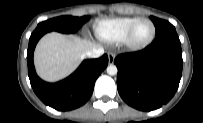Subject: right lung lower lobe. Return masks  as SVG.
I'll list each match as a JSON object with an SVG mask.
<instances>
[{"label":"right lung lower lobe","instance_id":"1","mask_svg":"<svg viewBox=\"0 0 203 123\" xmlns=\"http://www.w3.org/2000/svg\"><path fill=\"white\" fill-rule=\"evenodd\" d=\"M45 33L35 30L29 39L27 63L31 86L42 102L56 110L67 111L78 108L91 97L96 79L108 65V56L105 54L98 59L83 61L72 75L62 81L44 82L35 72L33 52L38 40Z\"/></svg>","mask_w":203,"mask_h":123}]
</instances>
